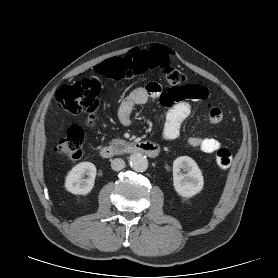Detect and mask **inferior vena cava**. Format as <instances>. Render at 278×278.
I'll use <instances>...</instances> for the list:
<instances>
[{"mask_svg":"<svg viewBox=\"0 0 278 278\" xmlns=\"http://www.w3.org/2000/svg\"><path fill=\"white\" fill-rule=\"evenodd\" d=\"M111 167L115 171H120L125 167V161L121 158H115L111 161Z\"/></svg>","mask_w":278,"mask_h":278,"instance_id":"inferior-vena-cava-1","label":"inferior vena cava"}]
</instances>
